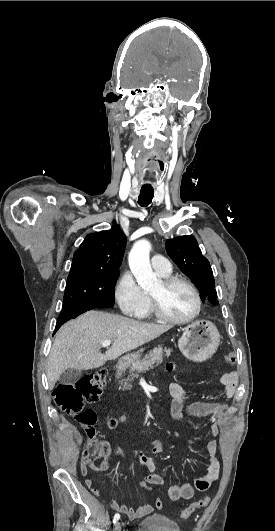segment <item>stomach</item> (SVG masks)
Segmentation results:
<instances>
[{
	"label": "stomach",
	"instance_id": "stomach-1",
	"mask_svg": "<svg viewBox=\"0 0 275 531\" xmlns=\"http://www.w3.org/2000/svg\"><path fill=\"white\" fill-rule=\"evenodd\" d=\"M221 335L210 321H195L186 327L181 339L178 341V347L187 359L190 361H207L216 353L220 345ZM141 353H132L122 357L123 363L138 361Z\"/></svg>",
	"mask_w": 275,
	"mask_h": 531
}]
</instances>
